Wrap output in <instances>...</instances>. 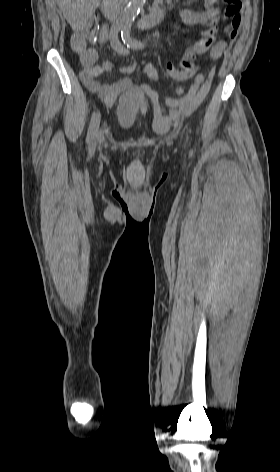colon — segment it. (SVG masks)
Here are the masks:
<instances>
[{"instance_id": "1", "label": "colon", "mask_w": 280, "mask_h": 472, "mask_svg": "<svg viewBox=\"0 0 280 472\" xmlns=\"http://www.w3.org/2000/svg\"><path fill=\"white\" fill-rule=\"evenodd\" d=\"M218 0H210L209 2L216 3ZM227 4L225 17L229 20L230 26H238L240 24L241 0H224ZM99 30V24L96 19L90 20L81 30V33L88 39H95ZM167 74L178 81L187 80L192 77L194 73V64L189 61H182L176 67L168 64L166 67Z\"/></svg>"}]
</instances>
